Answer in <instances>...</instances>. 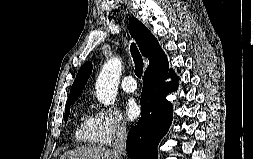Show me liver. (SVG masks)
Wrapping results in <instances>:
<instances>
[{
	"label": "liver",
	"mask_w": 253,
	"mask_h": 159,
	"mask_svg": "<svg viewBox=\"0 0 253 159\" xmlns=\"http://www.w3.org/2000/svg\"><path fill=\"white\" fill-rule=\"evenodd\" d=\"M60 159H121V156L116 154L112 149L95 146H81L65 152Z\"/></svg>",
	"instance_id": "obj_1"
}]
</instances>
